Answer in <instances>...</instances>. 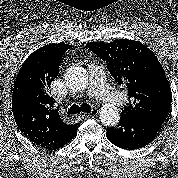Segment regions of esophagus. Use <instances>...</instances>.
<instances>
[{"instance_id":"34e87169","label":"esophagus","mask_w":178,"mask_h":178,"mask_svg":"<svg viewBox=\"0 0 178 178\" xmlns=\"http://www.w3.org/2000/svg\"><path fill=\"white\" fill-rule=\"evenodd\" d=\"M99 113L98 109H93L88 115H85V113L80 114V116L84 117H89V116H96Z\"/></svg>"}]
</instances>
